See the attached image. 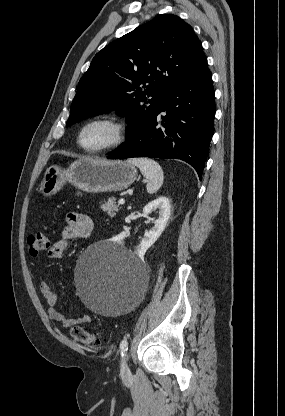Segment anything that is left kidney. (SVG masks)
<instances>
[{
	"label": "left kidney",
	"mask_w": 285,
	"mask_h": 416,
	"mask_svg": "<svg viewBox=\"0 0 285 416\" xmlns=\"http://www.w3.org/2000/svg\"><path fill=\"white\" fill-rule=\"evenodd\" d=\"M170 208L171 206L168 198H157V200H153V202H150V204H147V206L143 208V214H150L152 210H159V218L158 220H155L154 228H151L149 232H145L144 238H142L139 246H137L136 252L138 256H144L146 250H148L150 246H153L159 236H161L170 218Z\"/></svg>",
	"instance_id": "1"
}]
</instances>
